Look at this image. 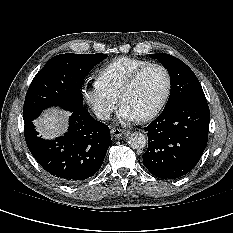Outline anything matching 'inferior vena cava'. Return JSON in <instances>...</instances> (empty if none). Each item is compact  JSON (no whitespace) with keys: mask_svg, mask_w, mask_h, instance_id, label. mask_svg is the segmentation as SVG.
<instances>
[{"mask_svg":"<svg viewBox=\"0 0 233 233\" xmlns=\"http://www.w3.org/2000/svg\"><path fill=\"white\" fill-rule=\"evenodd\" d=\"M95 115L98 119L108 120L110 118V111L107 108H97L95 110Z\"/></svg>","mask_w":233,"mask_h":233,"instance_id":"obj_1","label":"inferior vena cava"}]
</instances>
